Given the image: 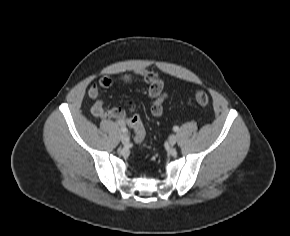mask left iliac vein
<instances>
[{"label":"left iliac vein","mask_w":290,"mask_h":236,"mask_svg":"<svg viewBox=\"0 0 290 236\" xmlns=\"http://www.w3.org/2000/svg\"><path fill=\"white\" fill-rule=\"evenodd\" d=\"M177 136L176 135H171L170 137H169V144L171 145V146H174L175 144H176V142H177Z\"/></svg>","instance_id":"4c4485c4"}]
</instances>
